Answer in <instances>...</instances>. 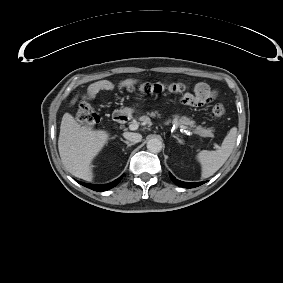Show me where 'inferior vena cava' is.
<instances>
[{"label":"inferior vena cava","instance_id":"inferior-vena-cava-1","mask_svg":"<svg viewBox=\"0 0 283 283\" xmlns=\"http://www.w3.org/2000/svg\"><path fill=\"white\" fill-rule=\"evenodd\" d=\"M124 136L133 143H137L141 140L142 136L139 133L126 132Z\"/></svg>","mask_w":283,"mask_h":283}]
</instances>
